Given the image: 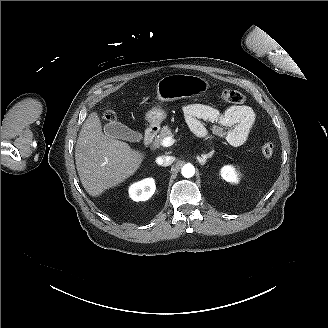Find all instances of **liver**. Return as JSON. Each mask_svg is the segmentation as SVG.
I'll return each instance as SVG.
<instances>
[{
  "label": "liver",
  "instance_id": "1",
  "mask_svg": "<svg viewBox=\"0 0 328 328\" xmlns=\"http://www.w3.org/2000/svg\"><path fill=\"white\" fill-rule=\"evenodd\" d=\"M144 155L122 141L102 133L100 118L91 113L82 125L75 147L80 181L91 196L116 186L133 175Z\"/></svg>",
  "mask_w": 328,
  "mask_h": 328
}]
</instances>
